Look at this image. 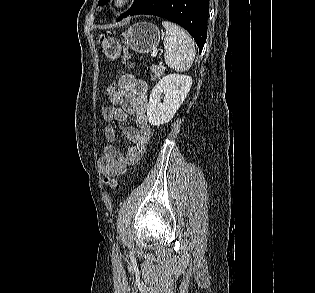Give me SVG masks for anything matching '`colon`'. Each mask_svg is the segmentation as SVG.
Segmentation results:
<instances>
[{"label": "colon", "mask_w": 315, "mask_h": 293, "mask_svg": "<svg viewBox=\"0 0 315 293\" xmlns=\"http://www.w3.org/2000/svg\"><path fill=\"white\" fill-rule=\"evenodd\" d=\"M129 58V54L126 50H124L123 56H122V61L126 62ZM111 85L107 87L105 90V95L108 96L112 92L117 91V86L119 83L118 78H111L110 80ZM105 185L110 188V189H118L120 185V178L117 176H110L104 180Z\"/></svg>", "instance_id": "1"}]
</instances>
